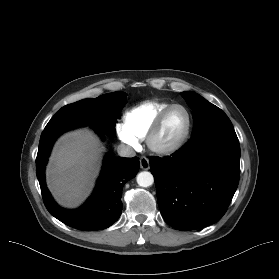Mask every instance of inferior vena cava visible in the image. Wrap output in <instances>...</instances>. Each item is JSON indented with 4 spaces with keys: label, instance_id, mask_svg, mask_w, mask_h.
<instances>
[{
    "label": "inferior vena cava",
    "instance_id": "inferior-vena-cava-1",
    "mask_svg": "<svg viewBox=\"0 0 279 279\" xmlns=\"http://www.w3.org/2000/svg\"><path fill=\"white\" fill-rule=\"evenodd\" d=\"M117 152L121 157H133L136 154L132 147L125 144H120L117 148Z\"/></svg>",
    "mask_w": 279,
    "mask_h": 279
}]
</instances>
